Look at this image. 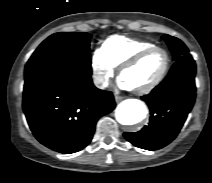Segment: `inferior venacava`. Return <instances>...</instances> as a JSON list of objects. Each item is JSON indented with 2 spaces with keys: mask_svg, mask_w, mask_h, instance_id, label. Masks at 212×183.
I'll use <instances>...</instances> for the list:
<instances>
[{
  "mask_svg": "<svg viewBox=\"0 0 212 183\" xmlns=\"http://www.w3.org/2000/svg\"><path fill=\"white\" fill-rule=\"evenodd\" d=\"M94 84L98 88H105L108 85V82L103 76L97 75L94 77Z\"/></svg>",
  "mask_w": 212,
  "mask_h": 183,
  "instance_id": "obj_1",
  "label": "inferior vena cava"
}]
</instances>
